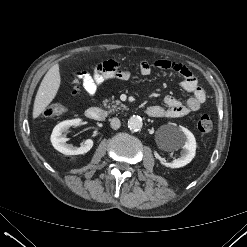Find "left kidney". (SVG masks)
I'll return each mask as SVG.
<instances>
[{
    "mask_svg": "<svg viewBox=\"0 0 247 247\" xmlns=\"http://www.w3.org/2000/svg\"><path fill=\"white\" fill-rule=\"evenodd\" d=\"M174 132L170 135V148L182 149L181 156L170 163H164L166 167L180 168L192 161L196 152V140L187 128L173 127Z\"/></svg>",
    "mask_w": 247,
    "mask_h": 247,
    "instance_id": "left-kidney-1",
    "label": "left kidney"
}]
</instances>
